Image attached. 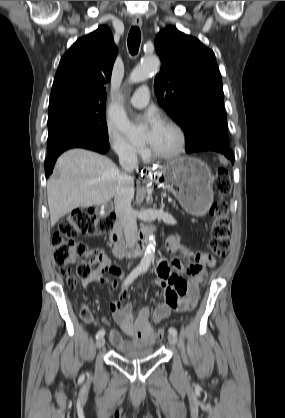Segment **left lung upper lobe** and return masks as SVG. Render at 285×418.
Listing matches in <instances>:
<instances>
[{
  "label": "left lung upper lobe",
  "instance_id": "obj_1",
  "mask_svg": "<svg viewBox=\"0 0 285 418\" xmlns=\"http://www.w3.org/2000/svg\"><path fill=\"white\" fill-rule=\"evenodd\" d=\"M161 70L155 77L158 103L181 126L186 150L202 144L230 146L222 78L212 50L173 26L155 38Z\"/></svg>",
  "mask_w": 285,
  "mask_h": 418
}]
</instances>
